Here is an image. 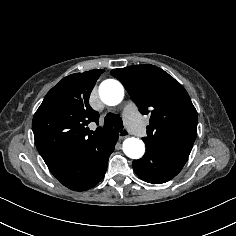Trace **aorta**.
Here are the masks:
<instances>
[{
    "instance_id": "1",
    "label": "aorta",
    "mask_w": 236,
    "mask_h": 236,
    "mask_svg": "<svg viewBox=\"0 0 236 236\" xmlns=\"http://www.w3.org/2000/svg\"><path fill=\"white\" fill-rule=\"evenodd\" d=\"M99 95L106 105L115 106L122 101L124 89L117 80L107 79L101 83ZM123 152L131 159H139L145 153V145L139 138H127L123 142Z\"/></svg>"
}]
</instances>
